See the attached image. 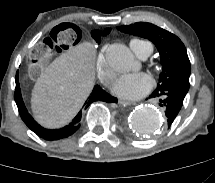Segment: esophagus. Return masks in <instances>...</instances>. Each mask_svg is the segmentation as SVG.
Returning <instances> with one entry per match:
<instances>
[{"label":"esophagus","instance_id":"obj_1","mask_svg":"<svg viewBox=\"0 0 215 183\" xmlns=\"http://www.w3.org/2000/svg\"><path fill=\"white\" fill-rule=\"evenodd\" d=\"M118 103H119V105H121V106H129V105H132V104H133V102L126 101V100H122V99H119V100H118Z\"/></svg>","mask_w":215,"mask_h":183}]
</instances>
